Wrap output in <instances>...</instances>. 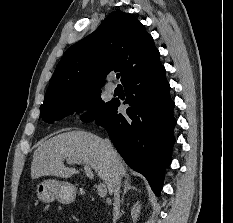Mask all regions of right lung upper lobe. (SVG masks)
Here are the masks:
<instances>
[{
    "label": "right lung upper lobe",
    "instance_id": "obj_1",
    "mask_svg": "<svg viewBox=\"0 0 233 223\" xmlns=\"http://www.w3.org/2000/svg\"><path fill=\"white\" fill-rule=\"evenodd\" d=\"M159 57L153 38L144 25L131 14L115 11L96 31L66 50L42 105L101 88L113 70L121 73L124 83L159 64Z\"/></svg>",
    "mask_w": 233,
    "mask_h": 223
}]
</instances>
